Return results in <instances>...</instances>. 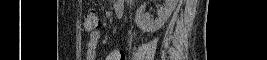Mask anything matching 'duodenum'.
I'll use <instances>...</instances> for the list:
<instances>
[{"label": "duodenum", "mask_w": 267, "mask_h": 60, "mask_svg": "<svg viewBox=\"0 0 267 60\" xmlns=\"http://www.w3.org/2000/svg\"><path fill=\"white\" fill-rule=\"evenodd\" d=\"M124 8L123 7H116V13L119 17L123 15Z\"/></svg>", "instance_id": "410a0bca"}]
</instances>
